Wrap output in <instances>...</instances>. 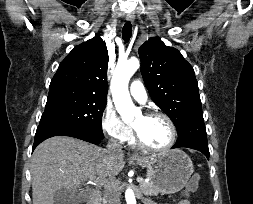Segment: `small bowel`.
I'll list each match as a JSON object with an SVG mask.
<instances>
[{
	"label": "small bowel",
	"mask_w": 253,
	"mask_h": 204,
	"mask_svg": "<svg viewBox=\"0 0 253 204\" xmlns=\"http://www.w3.org/2000/svg\"><path fill=\"white\" fill-rule=\"evenodd\" d=\"M177 204H191L188 200H181Z\"/></svg>",
	"instance_id": "1"
}]
</instances>
